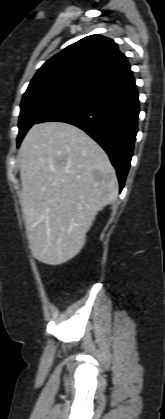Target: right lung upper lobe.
<instances>
[{"instance_id":"1","label":"right lung upper lobe","mask_w":165,"mask_h":419,"mask_svg":"<svg viewBox=\"0 0 165 419\" xmlns=\"http://www.w3.org/2000/svg\"><path fill=\"white\" fill-rule=\"evenodd\" d=\"M126 56L104 36L91 35L46 61L25 93L60 86L90 93L131 73Z\"/></svg>"}]
</instances>
